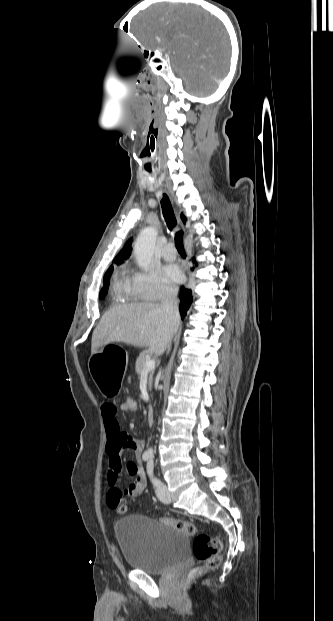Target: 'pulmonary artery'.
Returning <instances> with one entry per match:
<instances>
[{
  "instance_id": "obj_1",
  "label": "pulmonary artery",
  "mask_w": 333,
  "mask_h": 621,
  "mask_svg": "<svg viewBox=\"0 0 333 621\" xmlns=\"http://www.w3.org/2000/svg\"><path fill=\"white\" fill-rule=\"evenodd\" d=\"M162 256L165 260L171 261L176 258V250L172 243H168L164 246Z\"/></svg>"
}]
</instances>
